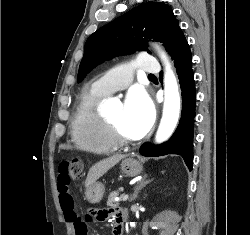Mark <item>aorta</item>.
I'll return each instance as SVG.
<instances>
[{
  "mask_svg": "<svg viewBox=\"0 0 250 235\" xmlns=\"http://www.w3.org/2000/svg\"><path fill=\"white\" fill-rule=\"evenodd\" d=\"M161 59L166 64L164 75V108L163 115L156 133V142L161 143L167 140L173 133L180 114V95L177 80L164 52H160ZM135 224L131 223V227Z\"/></svg>",
  "mask_w": 250,
  "mask_h": 235,
  "instance_id": "obj_1",
  "label": "aorta"
}]
</instances>
